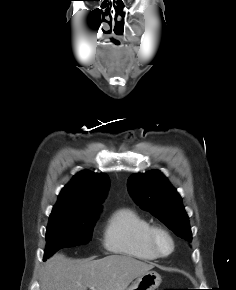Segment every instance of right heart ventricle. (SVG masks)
Instances as JSON below:
<instances>
[{"instance_id": "e07e8e85", "label": "right heart ventricle", "mask_w": 236, "mask_h": 290, "mask_svg": "<svg viewBox=\"0 0 236 290\" xmlns=\"http://www.w3.org/2000/svg\"><path fill=\"white\" fill-rule=\"evenodd\" d=\"M151 223L132 208H119L107 220L103 245L111 253L142 261H155L148 234Z\"/></svg>"}]
</instances>
